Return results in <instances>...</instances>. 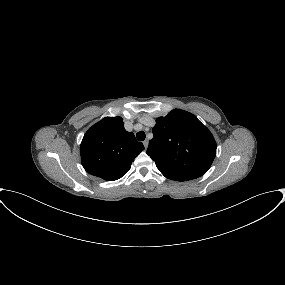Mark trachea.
<instances>
[{"label": "trachea", "instance_id": "3493384b", "mask_svg": "<svg viewBox=\"0 0 285 285\" xmlns=\"http://www.w3.org/2000/svg\"><path fill=\"white\" fill-rule=\"evenodd\" d=\"M137 140L143 141L146 137L145 133L143 131H140L136 134Z\"/></svg>", "mask_w": 285, "mask_h": 285}]
</instances>
